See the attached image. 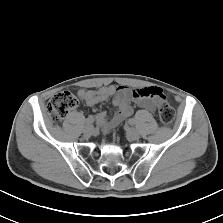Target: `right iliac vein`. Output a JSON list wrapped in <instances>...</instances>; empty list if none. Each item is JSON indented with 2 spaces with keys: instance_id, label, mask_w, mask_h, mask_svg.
<instances>
[{
  "instance_id": "1",
  "label": "right iliac vein",
  "mask_w": 223,
  "mask_h": 223,
  "mask_svg": "<svg viewBox=\"0 0 223 223\" xmlns=\"http://www.w3.org/2000/svg\"><path fill=\"white\" fill-rule=\"evenodd\" d=\"M94 131V128L93 126L89 125V126H86L83 130V133L86 135V136H90Z\"/></svg>"
}]
</instances>
